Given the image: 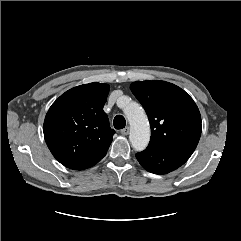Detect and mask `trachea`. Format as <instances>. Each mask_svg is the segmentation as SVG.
<instances>
[{"label": "trachea", "mask_w": 241, "mask_h": 241, "mask_svg": "<svg viewBox=\"0 0 241 241\" xmlns=\"http://www.w3.org/2000/svg\"><path fill=\"white\" fill-rule=\"evenodd\" d=\"M115 129H123L126 125L125 118L122 115H116L113 121Z\"/></svg>", "instance_id": "trachea-1"}]
</instances>
